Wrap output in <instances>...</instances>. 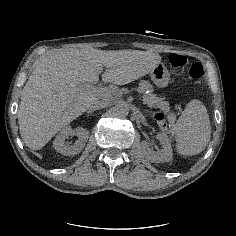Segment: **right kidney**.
Segmentation results:
<instances>
[{
  "instance_id": "ca27d5eb",
  "label": "right kidney",
  "mask_w": 236,
  "mask_h": 236,
  "mask_svg": "<svg viewBox=\"0 0 236 236\" xmlns=\"http://www.w3.org/2000/svg\"><path fill=\"white\" fill-rule=\"evenodd\" d=\"M73 135H77L78 140L73 145L67 144ZM89 135L90 132L83 127H77L75 129L66 127L56 136L53 147L62 155L74 156L83 150Z\"/></svg>"
}]
</instances>
